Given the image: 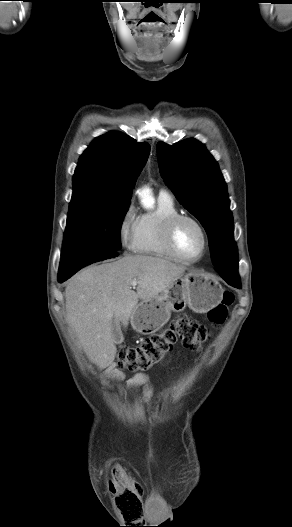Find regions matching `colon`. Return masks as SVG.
Instances as JSON below:
<instances>
[{
    "mask_svg": "<svg viewBox=\"0 0 292 527\" xmlns=\"http://www.w3.org/2000/svg\"><path fill=\"white\" fill-rule=\"evenodd\" d=\"M234 296L225 291L222 300L208 313V320L213 328H220L228 318L229 307L233 304ZM211 336L209 327L201 324L191 316L176 318L162 332L145 339L134 347L121 348L118 363L129 371L147 370L161 362L172 350L177 342L184 347L199 350ZM123 492L117 496L118 505L123 509L129 503H135L140 512V486L131 480H126Z\"/></svg>",
    "mask_w": 292,
    "mask_h": 527,
    "instance_id": "5ec220e1",
    "label": "colon"
}]
</instances>
